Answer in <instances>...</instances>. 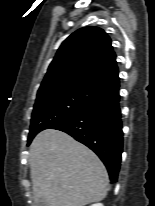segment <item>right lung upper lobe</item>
Wrapping results in <instances>:
<instances>
[{"label": "right lung upper lobe", "instance_id": "right-lung-upper-lobe-1", "mask_svg": "<svg viewBox=\"0 0 155 206\" xmlns=\"http://www.w3.org/2000/svg\"><path fill=\"white\" fill-rule=\"evenodd\" d=\"M78 85L103 93L119 86L116 55L101 28H80L61 44L38 92Z\"/></svg>", "mask_w": 155, "mask_h": 206}]
</instances>
